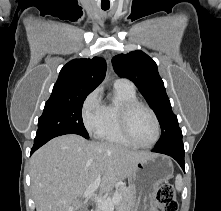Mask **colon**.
<instances>
[{"mask_svg": "<svg viewBox=\"0 0 221 211\" xmlns=\"http://www.w3.org/2000/svg\"><path fill=\"white\" fill-rule=\"evenodd\" d=\"M158 211H178L175 192L171 184H163L158 190Z\"/></svg>", "mask_w": 221, "mask_h": 211, "instance_id": "1", "label": "colon"}]
</instances>
